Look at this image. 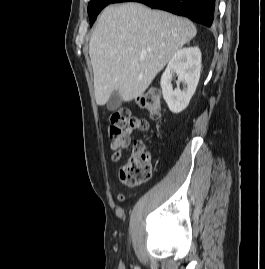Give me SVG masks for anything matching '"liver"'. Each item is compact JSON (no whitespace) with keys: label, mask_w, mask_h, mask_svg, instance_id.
I'll list each match as a JSON object with an SVG mask.
<instances>
[{"label":"liver","mask_w":265,"mask_h":269,"mask_svg":"<svg viewBox=\"0 0 265 269\" xmlns=\"http://www.w3.org/2000/svg\"><path fill=\"white\" fill-rule=\"evenodd\" d=\"M196 33L188 19L139 3L106 7L89 42L96 103L114 91L126 102L141 96Z\"/></svg>","instance_id":"6515ba94"}]
</instances>
